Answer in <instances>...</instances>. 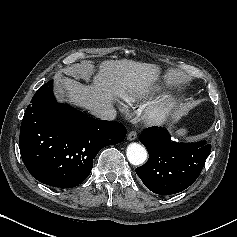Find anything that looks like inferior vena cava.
I'll use <instances>...</instances> for the list:
<instances>
[{
    "label": "inferior vena cava",
    "mask_w": 237,
    "mask_h": 237,
    "mask_svg": "<svg viewBox=\"0 0 237 237\" xmlns=\"http://www.w3.org/2000/svg\"><path fill=\"white\" fill-rule=\"evenodd\" d=\"M91 113L102 120H114L117 114L116 110L112 107L94 109Z\"/></svg>",
    "instance_id": "602c4592"
}]
</instances>
